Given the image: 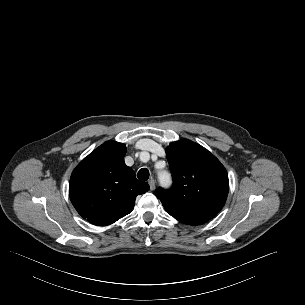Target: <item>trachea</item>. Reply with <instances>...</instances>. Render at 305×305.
Listing matches in <instances>:
<instances>
[{
  "instance_id": "1",
  "label": "trachea",
  "mask_w": 305,
  "mask_h": 305,
  "mask_svg": "<svg viewBox=\"0 0 305 305\" xmlns=\"http://www.w3.org/2000/svg\"><path fill=\"white\" fill-rule=\"evenodd\" d=\"M137 177L140 180H148L149 178V170L146 168H142L138 171Z\"/></svg>"
}]
</instances>
